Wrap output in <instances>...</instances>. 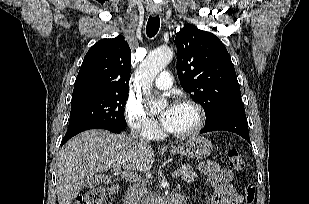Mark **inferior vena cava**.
<instances>
[{
  "instance_id": "602c4592",
  "label": "inferior vena cava",
  "mask_w": 309,
  "mask_h": 204,
  "mask_svg": "<svg viewBox=\"0 0 309 204\" xmlns=\"http://www.w3.org/2000/svg\"><path fill=\"white\" fill-rule=\"evenodd\" d=\"M129 138L136 144L148 145L149 140L142 134L140 129H134ZM146 187L141 181H137L130 187L126 196V204H148Z\"/></svg>"
}]
</instances>
